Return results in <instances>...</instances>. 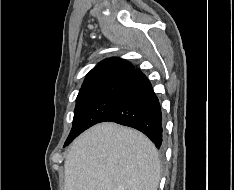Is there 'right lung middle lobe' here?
<instances>
[{
    "label": "right lung middle lobe",
    "instance_id": "right-lung-middle-lobe-1",
    "mask_svg": "<svg viewBox=\"0 0 234 190\" xmlns=\"http://www.w3.org/2000/svg\"><path fill=\"white\" fill-rule=\"evenodd\" d=\"M124 84L125 79H118L80 90L76 99L73 126L66 142L99 123L116 101Z\"/></svg>",
    "mask_w": 234,
    "mask_h": 190
}]
</instances>
